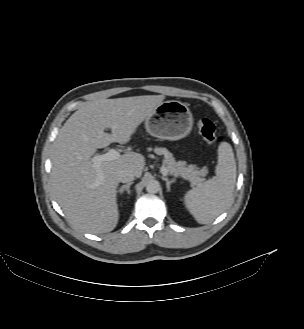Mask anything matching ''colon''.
Instances as JSON below:
<instances>
[{
	"label": "colon",
	"mask_w": 304,
	"mask_h": 329,
	"mask_svg": "<svg viewBox=\"0 0 304 329\" xmlns=\"http://www.w3.org/2000/svg\"><path fill=\"white\" fill-rule=\"evenodd\" d=\"M199 133L209 144H216L221 139L217 136L215 124L208 118H200L197 122Z\"/></svg>",
	"instance_id": "obj_1"
}]
</instances>
